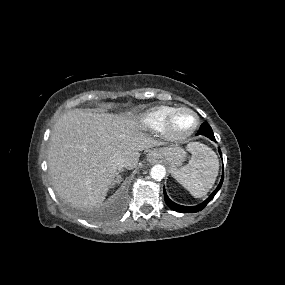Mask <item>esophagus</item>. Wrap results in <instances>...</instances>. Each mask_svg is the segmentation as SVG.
Returning <instances> with one entry per match:
<instances>
[{
  "instance_id": "esophagus-1",
  "label": "esophagus",
  "mask_w": 285,
  "mask_h": 285,
  "mask_svg": "<svg viewBox=\"0 0 285 285\" xmlns=\"http://www.w3.org/2000/svg\"><path fill=\"white\" fill-rule=\"evenodd\" d=\"M149 158H153L156 156V153L151 151L149 154H148Z\"/></svg>"
}]
</instances>
